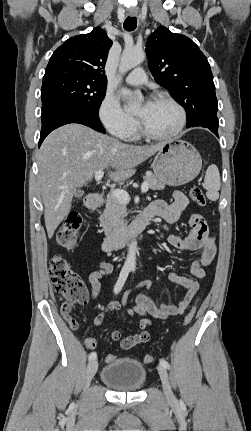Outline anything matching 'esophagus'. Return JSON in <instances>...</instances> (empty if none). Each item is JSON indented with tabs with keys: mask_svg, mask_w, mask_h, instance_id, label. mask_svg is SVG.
I'll use <instances>...</instances> for the list:
<instances>
[{
	"mask_svg": "<svg viewBox=\"0 0 251 431\" xmlns=\"http://www.w3.org/2000/svg\"><path fill=\"white\" fill-rule=\"evenodd\" d=\"M129 15H130V16H132V17H134V16H136V15H137V11H130V12H129Z\"/></svg>",
	"mask_w": 251,
	"mask_h": 431,
	"instance_id": "1",
	"label": "esophagus"
}]
</instances>
